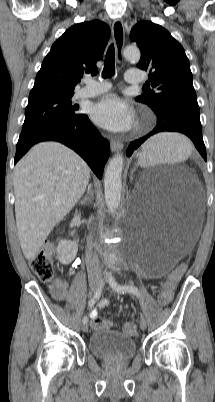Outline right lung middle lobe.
I'll list each match as a JSON object with an SVG mask.
<instances>
[{"mask_svg": "<svg viewBox=\"0 0 215 402\" xmlns=\"http://www.w3.org/2000/svg\"><path fill=\"white\" fill-rule=\"evenodd\" d=\"M72 96L42 95L29 98L17 144L26 143L42 132L80 118L83 114L76 112L77 108L72 106Z\"/></svg>", "mask_w": 215, "mask_h": 402, "instance_id": "1", "label": "right lung middle lobe"}]
</instances>
